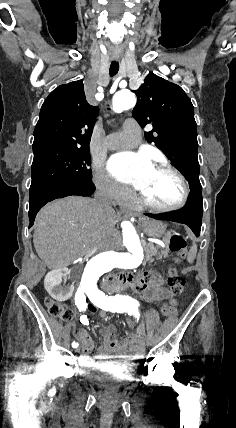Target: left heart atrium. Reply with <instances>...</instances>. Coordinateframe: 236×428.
<instances>
[{
	"label": "left heart atrium",
	"mask_w": 236,
	"mask_h": 428,
	"mask_svg": "<svg viewBox=\"0 0 236 428\" xmlns=\"http://www.w3.org/2000/svg\"><path fill=\"white\" fill-rule=\"evenodd\" d=\"M153 169L151 160L134 153L113 156L108 163L109 173L116 179L140 189L145 176Z\"/></svg>",
	"instance_id": "left-heart-atrium-1"
}]
</instances>
